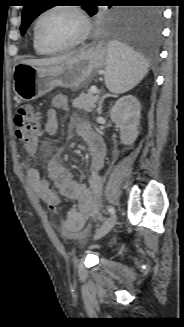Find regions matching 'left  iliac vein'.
Instances as JSON below:
<instances>
[{"mask_svg": "<svg viewBox=\"0 0 184 327\" xmlns=\"http://www.w3.org/2000/svg\"><path fill=\"white\" fill-rule=\"evenodd\" d=\"M117 221V215L113 214L108 221L97 231V233L94 236V239H100L103 236H105L116 224Z\"/></svg>", "mask_w": 184, "mask_h": 327, "instance_id": "4c4485c4", "label": "left iliac vein"}]
</instances>
